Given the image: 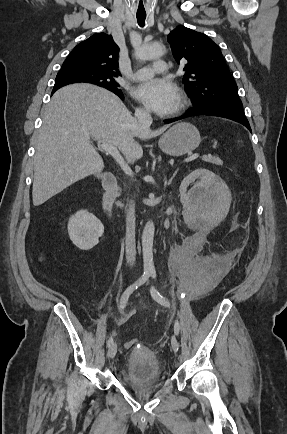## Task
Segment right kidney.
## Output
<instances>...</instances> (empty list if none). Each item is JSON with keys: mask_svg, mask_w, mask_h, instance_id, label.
<instances>
[{"mask_svg": "<svg viewBox=\"0 0 287 434\" xmlns=\"http://www.w3.org/2000/svg\"><path fill=\"white\" fill-rule=\"evenodd\" d=\"M104 226L93 214L81 210L68 222V234L72 243L80 250H90L99 243Z\"/></svg>", "mask_w": 287, "mask_h": 434, "instance_id": "1", "label": "right kidney"}]
</instances>
